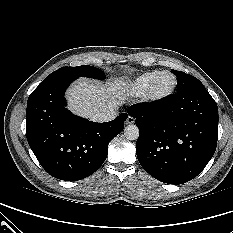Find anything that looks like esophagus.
I'll list each match as a JSON object with an SVG mask.
<instances>
[{
    "mask_svg": "<svg viewBox=\"0 0 233 233\" xmlns=\"http://www.w3.org/2000/svg\"><path fill=\"white\" fill-rule=\"evenodd\" d=\"M125 123L126 124H133V123H135V119L132 116H128Z\"/></svg>",
    "mask_w": 233,
    "mask_h": 233,
    "instance_id": "esophagus-1",
    "label": "esophagus"
}]
</instances>
